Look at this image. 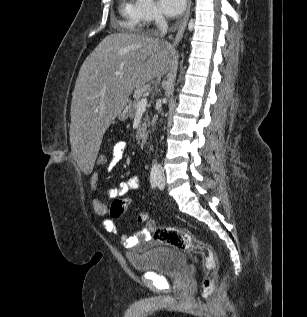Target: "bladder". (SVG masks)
Segmentation results:
<instances>
[{
    "instance_id": "obj_1",
    "label": "bladder",
    "mask_w": 307,
    "mask_h": 317,
    "mask_svg": "<svg viewBox=\"0 0 307 317\" xmlns=\"http://www.w3.org/2000/svg\"><path fill=\"white\" fill-rule=\"evenodd\" d=\"M128 260L137 272L150 271L169 276L180 275L187 264L182 252L168 247L152 248L142 256L128 255Z\"/></svg>"
}]
</instances>
